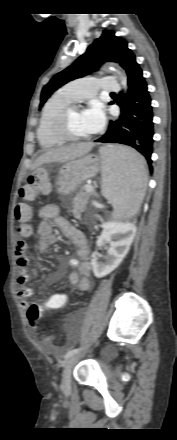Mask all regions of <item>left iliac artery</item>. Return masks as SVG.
<instances>
[{"mask_svg": "<svg viewBox=\"0 0 177 440\" xmlns=\"http://www.w3.org/2000/svg\"><path fill=\"white\" fill-rule=\"evenodd\" d=\"M80 350H82V348H76V349H72V350L68 351V352L66 353V355H65V358L67 359V358H69V357L75 355V354L78 353Z\"/></svg>", "mask_w": 177, "mask_h": 440, "instance_id": "obj_1", "label": "left iliac artery"}]
</instances>
